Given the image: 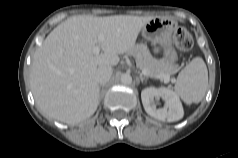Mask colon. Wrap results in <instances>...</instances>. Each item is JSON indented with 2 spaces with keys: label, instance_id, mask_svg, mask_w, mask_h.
Masks as SVG:
<instances>
[{
  "label": "colon",
  "instance_id": "1",
  "mask_svg": "<svg viewBox=\"0 0 238 158\" xmlns=\"http://www.w3.org/2000/svg\"><path fill=\"white\" fill-rule=\"evenodd\" d=\"M177 48L183 52H190L193 49V39L190 33L184 28H178L173 36Z\"/></svg>",
  "mask_w": 238,
  "mask_h": 158
}]
</instances>
